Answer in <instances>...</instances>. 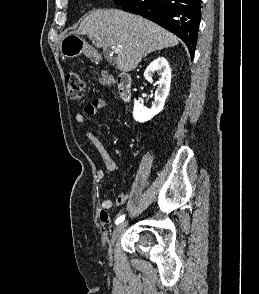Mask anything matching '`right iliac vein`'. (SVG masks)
I'll list each match as a JSON object with an SVG mask.
<instances>
[{"instance_id":"right-iliac-vein-1","label":"right iliac vein","mask_w":259,"mask_h":294,"mask_svg":"<svg viewBox=\"0 0 259 294\" xmlns=\"http://www.w3.org/2000/svg\"><path fill=\"white\" fill-rule=\"evenodd\" d=\"M126 225H127V222H122L119 225H117L116 228L114 229L112 233L110 245H109V255H111L113 244L115 243L119 235L122 233V231L125 229Z\"/></svg>"}]
</instances>
